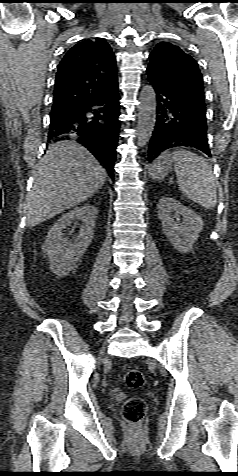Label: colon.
Here are the masks:
<instances>
[{
	"label": "colon",
	"instance_id": "obj_1",
	"mask_svg": "<svg viewBox=\"0 0 238 476\" xmlns=\"http://www.w3.org/2000/svg\"><path fill=\"white\" fill-rule=\"evenodd\" d=\"M125 384L130 388H140L145 383V376L138 369H129L123 376ZM146 411L145 402L139 397L129 398L123 405L122 413L127 422L132 425L139 424Z\"/></svg>",
	"mask_w": 238,
	"mask_h": 476
}]
</instances>
